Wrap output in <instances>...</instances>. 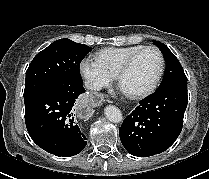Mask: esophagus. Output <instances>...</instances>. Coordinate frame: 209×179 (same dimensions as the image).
Here are the masks:
<instances>
[{"label": "esophagus", "mask_w": 209, "mask_h": 179, "mask_svg": "<svg viewBox=\"0 0 209 179\" xmlns=\"http://www.w3.org/2000/svg\"><path fill=\"white\" fill-rule=\"evenodd\" d=\"M74 112L79 118L88 119L94 114L95 105L90 99H79L74 105Z\"/></svg>", "instance_id": "1"}]
</instances>
